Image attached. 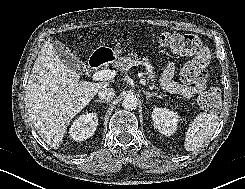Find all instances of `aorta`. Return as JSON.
Segmentation results:
<instances>
[{"mask_svg":"<svg viewBox=\"0 0 245 189\" xmlns=\"http://www.w3.org/2000/svg\"><path fill=\"white\" fill-rule=\"evenodd\" d=\"M138 105V99L134 94H127L122 100V106L126 110H134Z\"/></svg>","mask_w":245,"mask_h":189,"instance_id":"aorta-1","label":"aorta"}]
</instances>
